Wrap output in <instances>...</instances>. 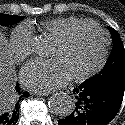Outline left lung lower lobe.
<instances>
[{
    "instance_id": "left-lung-lower-lobe-1",
    "label": "left lung lower lobe",
    "mask_w": 125,
    "mask_h": 125,
    "mask_svg": "<svg viewBox=\"0 0 125 125\" xmlns=\"http://www.w3.org/2000/svg\"><path fill=\"white\" fill-rule=\"evenodd\" d=\"M125 75L106 81L76 87L74 111L59 125H106L117 114L124 96Z\"/></svg>"
}]
</instances>
